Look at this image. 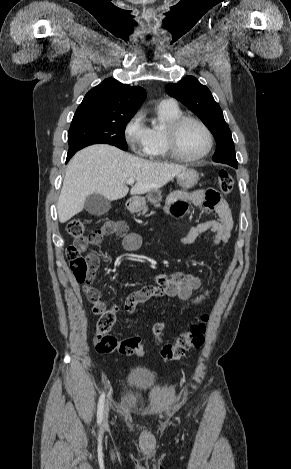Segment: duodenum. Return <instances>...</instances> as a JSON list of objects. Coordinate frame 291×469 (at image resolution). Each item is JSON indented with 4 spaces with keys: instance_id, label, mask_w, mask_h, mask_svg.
I'll use <instances>...</instances> for the list:
<instances>
[{
    "instance_id": "1",
    "label": "duodenum",
    "mask_w": 291,
    "mask_h": 469,
    "mask_svg": "<svg viewBox=\"0 0 291 469\" xmlns=\"http://www.w3.org/2000/svg\"><path fill=\"white\" fill-rule=\"evenodd\" d=\"M129 206H130V207H133V203H130Z\"/></svg>"
}]
</instances>
